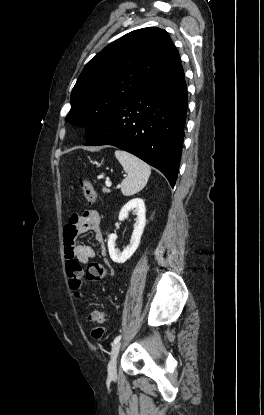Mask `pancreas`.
<instances>
[{"mask_svg": "<svg viewBox=\"0 0 264 415\" xmlns=\"http://www.w3.org/2000/svg\"><path fill=\"white\" fill-rule=\"evenodd\" d=\"M102 190H103V192H105V193H106V192H109V189H107V188H103Z\"/></svg>", "mask_w": 264, "mask_h": 415, "instance_id": "pancreas-1", "label": "pancreas"}]
</instances>
